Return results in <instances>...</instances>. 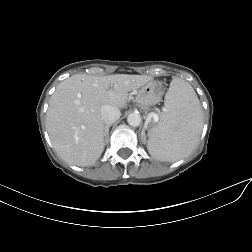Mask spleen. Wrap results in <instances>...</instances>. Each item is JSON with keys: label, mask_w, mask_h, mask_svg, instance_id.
<instances>
[{"label": "spleen", "mask_w": 252, "mask_h": 252, "mask_svg": "<svg viewBox=\"0 0 252 252\" xmlns=\"http://www.w3.org/2000/svg\"><path fill=\"white\" fill-rule=\"evenodd\" d=\"M164 105L161 122L149 131L147 149L159 161H176L189 155L199 140L202 108L193 87L180 78L171 81Z\"/></svg>", "instance_id": "1"}]
</instances>
